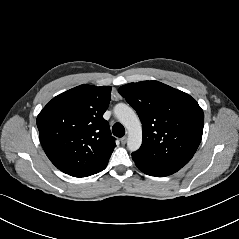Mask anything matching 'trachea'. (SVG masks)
Returning a JSON list of instances; mask_svg holds the SVG:
<instances>
[{"mask_svg": "<svg viewBox=\"0 0 239 239\" xmlns=\"http://www.w3.org/2000/svg\"><path fill=\"white\" fill-rule=\"evenodd\" d=\"M112 131L116 137H123L125 134V128L120 123H115L112 127Z\"/></svg>", "mask_w": 239, "mask_h": 239, "instance_id": "trachea-1", "label": "trachea"}]
</instances>
